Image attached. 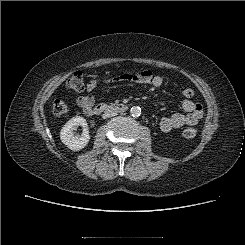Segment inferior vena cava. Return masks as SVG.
<instances>
[{
	"label": "inferior vena cava",
	"mask_w": 245,
	"mask_h": 245,
	"mask_svg": "<svg viewBox=\"0 0 245 245\" xmlns=\"http://www.w3.org/2000/svg\"><path fill=\"white\" fill-rule=\"evenodd\" d=\"M118 114V112L116 110H106L103 115L102 118L106 119V118H110L113 116H116Z\"/></svg>",
	"instance_id": "inferior-vena-cava-1"
}]
</instances>
